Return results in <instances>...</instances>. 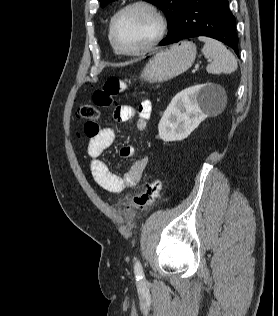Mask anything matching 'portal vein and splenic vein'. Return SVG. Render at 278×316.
<instances>
[{
	"instance_id": "portal-vein-and-splenic-vein-1",
	"label": "portal vein and splenic vein",
	"mask_w": 278,
	"mask_h": 316,
	"mask_svg": "<svg viewBox=\"0 0 278 316\" xmlns=\"http://www.w3.org/2000/svg\"><path fill=\"white\" fill-rule=\"evenodd\" d=\"M211 60H208V62H210ZM199 68V64L195 65V69L193 70V72L197 71V69Z\"/></svg>"
}]
</instances>
